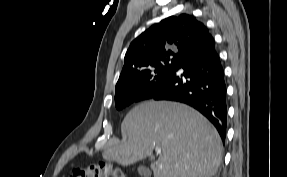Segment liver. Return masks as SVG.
<instances>
[{"instance_id": "1", "label": "liver", "mask_w": 287, "mask_h": 177, "mask_svg": "<svg viewBox=\"0 0 287 177\" xmlns=\"http://www.w3.org/2000/svg\"><path fill=\"white\" fill-rule=\"evenodd\" d=\"M121 132L126 140L111 144L103 158L128 166L149 157L154 177H212L222 161L218 132L185 104L143 102L126 115ZM156 148L161 154L155 161Z\"/></svg>"}]
</instances>
